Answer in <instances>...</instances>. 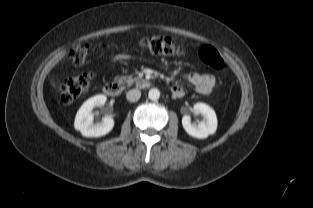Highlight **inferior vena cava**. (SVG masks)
Segmentation results:
<instances>
[{"mask_svg":"<svg viewBox=\"0 0 313 208\" xmlns=\"http://www.w3.org/2000/svg\"><path fill=\"white\" fill-rule=\"evenodd\" d=\"M141 97V92L138 89H132L130 91H128L126 98L128 101L130 102H135L138 101Z\"/></svg>","mask_w":313,"mask_h":208,"instance_id":"obj_1","label":"inferior vena cava"}]
</instances>
